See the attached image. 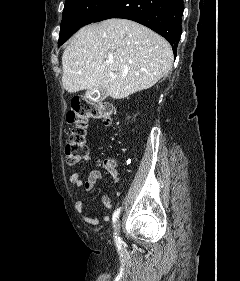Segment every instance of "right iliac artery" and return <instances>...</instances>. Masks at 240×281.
I'll use <instances>...</instances> for the list:
<instances>
[{
	"label": "right iliac artery",
	"instance_id": "1",
	"mask_svg": "<svg viewBox=\"0 0 240 281\" xmlns=\"http://www.w3.org/2000/svg\"><path fill=\"white\" fill-rule=\"evenodd\" d=\"M120 214V209H117L112 216L113 223L115 224ZM115 242L117 247L120 249V238L115 235Z\"/></svg>",
	"mask_w": 240,
	"mask_h": 281
}]
</instances>
